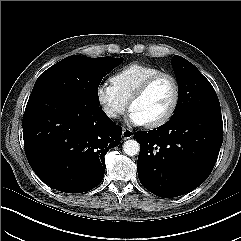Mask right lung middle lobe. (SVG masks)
Instances as JSON below:
<instances>
[{
	"label": "right lung middle lobe",
	"instance_id": "right-lung-middle-lobe-1",
	"mask_svg": "<svg viewBox=\"0 0 241 241\" xmlns=\"http://www.w3.org/2000/svg\"><path fill=\"white\" fill-rule=\"evenodd\" d=\"M123 58H88L72 55L44 71L36 80L30 97L61 91L81 101L99 106L98 86L104 76L120 65Z\"/></svg>",
	"mask_w": 241,
	"mask_h": 241
}]
</instances>
